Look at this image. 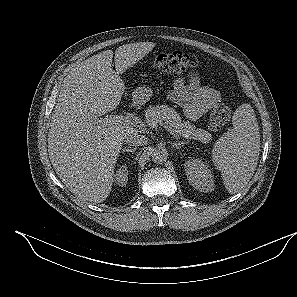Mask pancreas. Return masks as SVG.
<instances>
[{
	"instance_id": "obj_1",
	"label": "pancreas",
	"mask_w": 297,
	"mask_h": 297,
	"mask_svg": "<svg viewBox=\"0 0 297 297\" xmlns=\"http://www.w3.org/2000/svg\"><path fill=\"white\" fill-rule=\"evenodd\" d=\"M145 117L149 126L162 123L170 127L178 137L195 139L203 143H209L211 141V134L208 131L196 128L189 121H182L175 109L168 105L149 107L145 112Z\"/></svg>"
}]
</instances>
